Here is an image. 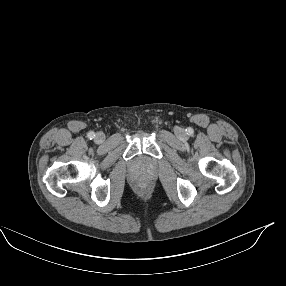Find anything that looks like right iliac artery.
Listing matches in <instances>:
<instances>
[{
    "label": "right iliac artery",
    "mask_w": 286,
    "mask_h": 286,
    "mask_svg": "<svg viewBox=\"0 0 286 286\" xmlns=\"http://www.w3.org/2000/svg\"><path fill=\"white\" fill-rule=\"evenodd\" d=\"M95 137V133L94 132H89L88 133V138L89 139H93Z\"/></svg>",
    "instance_id": "obj_1"
}]
</instances>
